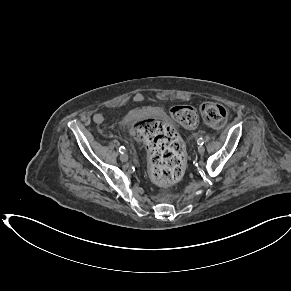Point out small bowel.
Segmentation results:
<instances>
[{"label": "small bowel", "mask_w": 291, "mask_h": 291, "mask_svg": "<svg viewBox=\"0 0 291 291\" xmlns=\"http://www.w3.org/2000/svg\"><path fill=\"white\" fill-rule=\"evenodd\" d=\"M104 120H105V116H104V114H102V113H97V114L94 115V121H95L96 123H102V122H104Z\"/></svg>", "instance_id": "small-bowel-1"}]
</instances>
